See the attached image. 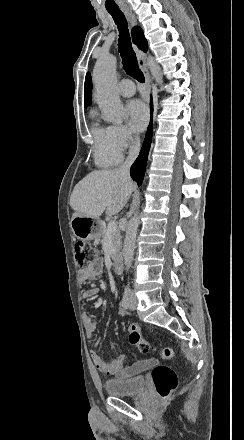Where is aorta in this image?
Wrapping results in <instances>:
<instances>
[{"label":"aorta","instance_id":"762f6f07","mask_svg":"<svg viewBox=\"0 0 244 440\" xmlns=\"http://www.w3.org/2000/svg\"><path fill=\"white\" fill-rule=\"evenodd\" d=\"M147 65L157 82H163L160 66L152 56L147 58ZM93 80L96 88V101L102 111L103 119L111 123H121L125 119L124 106L117 92L116 58L111 55L103 56L96 62L93 71ZM139 212L136 209L130 218L123 246V258L125 270L132 266L137 229L139 225Z\"/></svg>","mask_w":244,"mask_h":440}]
</instances>
